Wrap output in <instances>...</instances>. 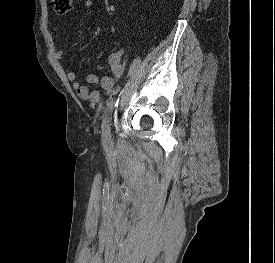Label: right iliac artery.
Returning <instances> with one entry per match:
<instances>
[{"instance_id": "obj_1", "label": "right iliac artery", "mask_w": 275, "mask_h": 263, "mask_svg": "<svg viewBox=\"0 0 275 263\" xmlns=\"http://www.w3.org/2000/svg\"><path fill=\"white\" fill-rule=\"evenodd\" d=\"M140 62L141 60L139 58L133 61L128 72L129 76H131L137 70V68L140 65ZM113 106H114V100L112 99L110 102H108L104 113V118L102 122V135L105 140L110 139V122L112 118Z\"/></svg>"}]
</instances>
